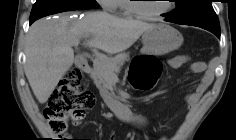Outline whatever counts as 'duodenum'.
Returning <instances> with one entry per match:
<instances>
[{"label":"duodenum","instance_id":"obj_1","mask_svg":"<svg viewBox=\"0 0 236 140\" xmlns=\"http://www.w3.org/2000/svg\"><path fill=\"white\" fill-rule=\"evenodd\" d=\"M77 65L84 71H90V65L86 55H79L77 58ZM112 109L121 117L128 115V109L121 103L115 102L110 104Z\"/></svg>","mask_w":236,"mask_h":140}]
</instances>
